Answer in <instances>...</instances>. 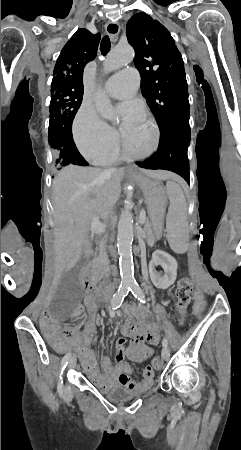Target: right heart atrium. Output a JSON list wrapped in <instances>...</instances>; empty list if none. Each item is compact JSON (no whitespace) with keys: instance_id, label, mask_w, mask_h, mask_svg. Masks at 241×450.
<instances>
[{"instance_id":"right-heart-atrium-1","label":"right heart atrium","mask_w":241,"mask_h":450,"mask_svg":"<svg viewBox=\"0 0 241 450\" xmlns=\"http://www.w3.org/2000/svg\"><path fill=\"white\" fill-rule=\"evenodd\" d=\"M72 131L77 150L87 160H104L115 151L112 129L88 104L79 107L73 119Z\"/></svg>"}]
</instances>
